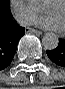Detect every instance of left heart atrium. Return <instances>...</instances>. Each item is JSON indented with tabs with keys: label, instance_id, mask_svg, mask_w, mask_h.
I'll return each mask as SVG.
<instances>
[{
	"label": "left heart atrium",
	"instance_id": "39dd6f15",
	"mask_svg": "<svg viewBox=\"0 0 65 89\" xmlns=\"http://www.w3.org/2000/svg\"><path fill=\"white\" fill-rule=\"evenodd\" d=\"M36 24L44 29L61 31L63 29L62 23L55 16H46L38 19Z\"/></svg>",
	"mask_w": 65,
	"mask_h": 89
}]
</instances>
